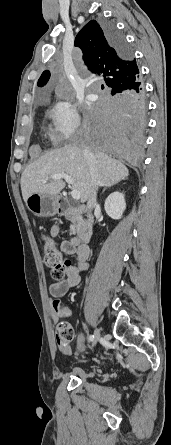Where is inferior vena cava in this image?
<instances>
[{
	"label": "inferior vena cava",
	"instance_id": "inferior-vena-cava-1",
	"mask_svg": "<svg viewBox=\"0 0 171 445\" xmlns=\"http://www.w3.org/2000/svg\"><path fill=\"white\" fill-rule=\"evenodd\" d=\"M84 154L88 161V165L90 168V174H91V178L93 181V184H92L93 188L91 190V195H90V198L87 203L88 209L91 210L97 206V189H98V182H97L98 173H97V166H96L97 163H96L95 156L89 149H85Z\"/></svg>",
	"mask_w": 171,
	"mask_h": 445
}]
</instances>
